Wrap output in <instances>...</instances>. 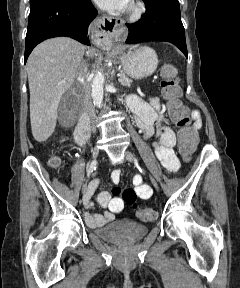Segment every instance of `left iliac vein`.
<instances>
[{
	"label": "left iliac vein",
	"instance_id": "left-iliac-vein-1",
	"mask_svg": "<svg viewBox=\"0 0 240 288\" xmlns=\"http://www.w3.org/2000/svg\"><path fill=\"white\" fill-rule=\"evenodd\" d=\"M124 156H125V158H126L128 161H131V162H134V163L137 162V160H136V158L134 157V155H133L131 152H129V151H126L125 154H124ZM150 179H151V182H152L153 186L158 190L159 187H158V184H157L156 180H155L152 176H150Z\"/></svg>",
	"mask_w": 240,
	"mask_h": 288
}]
</instances>
